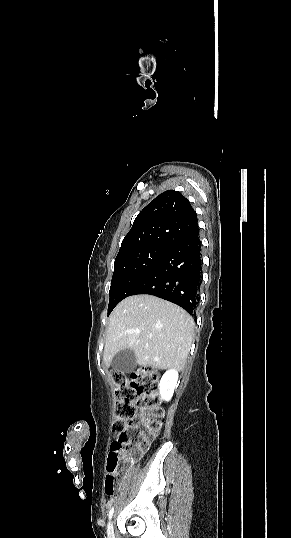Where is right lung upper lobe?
<instances>
[{"mask_svg": "<svg viewBox=\"0 0 291 538\" xmlns=\"http://www.w3.org/2000/svg\"><path fill=\"white\" fill-rule=\"evenodd\" d=\"M198 231L197 214L188 199L167 190L138 214L118 255L148 245L173 247Z\"/></svg>", "mask_w": 291, "mask_h": 538, "instance_id": "obj_1", "label": "right lung upper lobe"}]
</instances>
